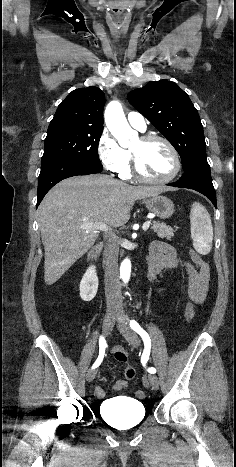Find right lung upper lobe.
I'll return each instance as SVG.
<instances>
[{"mask_svg":"<svg viewBox=\"0 0 236 467\" xmlns=\"http://www.w3.org/2000/svg\"><path fill=\"white\" fill-rule=\"evenodd\" d=\"M104 101V93L97 87L76 89L59 104L48 128L103 129Z\"/></svg>","mask_w":236,"mask_h":467,"instance_id":"cb5924a9","label":"right lung upper lobe"}]
</instances>
